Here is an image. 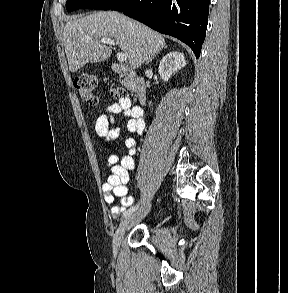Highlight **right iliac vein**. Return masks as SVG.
<instances>
[{"label": "right iliac vein", "mask_w": 288, "mask_h": 293, "mask_svg": "<svg viewBox=\"0 0 288 293\" xmlns=\"http://www.w3.org/2000/svg\"><path fill=\"white\" fill-rule=\"evenodd\" d=\"M134 215H128L126 216L121 223L119 224V227L117 228L115 235L113 237V251L114 253H117L121 240L125 234V231L127 230L131 220L133 219Z\"/></svg>", "instance_id": "63e3f726"}]
</instances>
